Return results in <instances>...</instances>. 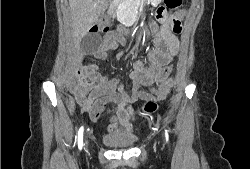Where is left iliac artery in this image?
I'll return each instance as SVG.
<instances>
[{
  "mask_svg": "<svg viewBox=\"0 0 250 169\" xmlns=\"http://www.w3.org/2000/svg\"><path fill=\"white\" fill-rule=\"evenodd\" d=\"M166 141H168V132L165 130Z\"/></svg>",
  "mask_w": 250,
  "mask_h": 169,
  "instance_id": "obj_1",
  "label": "left iliac artery"
}]
</instances>
